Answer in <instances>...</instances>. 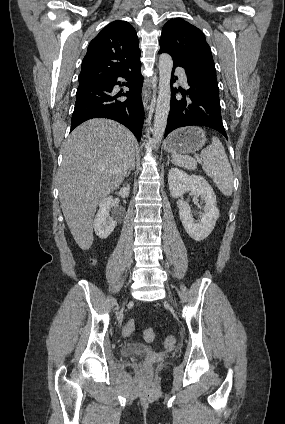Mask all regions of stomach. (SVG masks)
<instances>
[{
    "label": "stomach",
    "mask_w": 285,
    "mask_h": 424,
    "mask_svg": "<svg viewBox=\"0 0 285 424\" xmlns=\"http://www.w3.org/2000/svg\"><path fill=\"white\" fill-rule=\"evenodd\" d=\"M206 142L205 132L199 127H185L171 133L165 141V148L173 154L194 153Z\"/></svg>",
    "instance_id": "stomach-1"
}]
</instances>
